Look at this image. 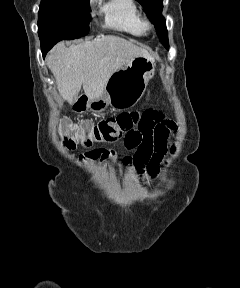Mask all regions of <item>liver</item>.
Segmentation results:
<instances>
[{
    "instance_id": "1",
    "label": "liver",
    "mask_w": 240,
    "mask_h": 288,
    "mask_svg": "<svg viewBox=\"0 0 240 288\" xmlns=\"http://www.w3.org/2000/svg\"><path fill=\"white\" fill-rule=\"evenodd\" d=\"M137 56L153 59L146 49L124 38L101 35L70 47L58 43L47 56V66L60 95L73 104L82 86L88 100L99 98L111 75Z\"/></svg>"
}]
</instances>
